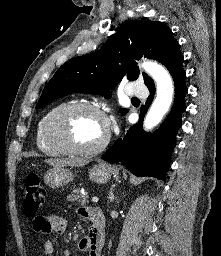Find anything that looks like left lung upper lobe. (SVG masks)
Here are the masks:
<instances>
[{"label":"left lung upper lobe","instance_id":"1","mask_svg":"<svg viewBox=\"0 0 221 256\" xmlns=\"http://www.w3.org/2000/svg\"><path fill=\"white\" fill-rule=\"evenodd\" d=\"M142 57L162 63L171 75L183 68L179 44L166 25L159 21H128L99 51L62 65L44 87L36 107L76 91L109 98L110 90L121 80L139 77L135 60ZM142 75L147 87L154 84L148 75Z\"/></svg>","mask_w":221,"mask_h":256}]
</instances>
